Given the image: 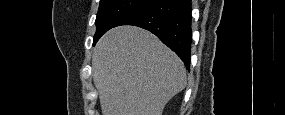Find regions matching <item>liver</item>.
Instances as JSON below:
<instances>
[{
	"label": "liver",
	"instance_id": "6515ba94",
	"mask_svg": "<svg viewBox=\"0 0 285 115\" xmlns=\"http://www.w3.org/2000/svg\"><path fill=\"white\" fill-rule=\"evenodd\" d=\"M92 68L103 115H162L187 84L181 59L135 26L104 34L93 50Z\"/></svg>",
	"mask_w": 285,
	"mask_h": 115
}]
</instances>
